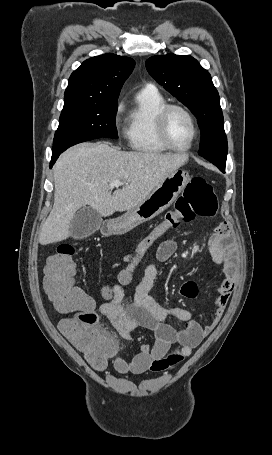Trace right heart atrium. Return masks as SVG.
<instances>
[{
  "label": "right heart atrium",
  "instance_id": "obj_1",
  "mask_svg": "<svg viewBox=\"0 0 272 455\" xmlns=\"http://www.w3.org/2000/svg\"><path fill=\"white\" fill-rule=\"evenodd\" d=\"M122 110V104H119L118 107H117V113H120Z\"/></svg>",
  "mask_w": 272,
  "mask_h": 455
}]
</instances>
